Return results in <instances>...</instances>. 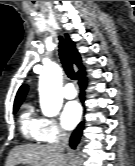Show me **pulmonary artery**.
Returning <instances> with one entry per match:
<instances>
[{
  "mask_svg": "<svg viewBox=\"0 0 135 166\" xmlns=\"http://www.w3.org/2000/svg\"><path fill=\"white\" fill-rule=\"evenodd\" d=\"M63 96L67 99H72L76 96V90L71 83H66L64 85Z\"/></svg>",
  "mask_w": 135,
  "mask_h": 166,
  "instance_id": "e3ab8cb5",
  "label": "pulmonary artery"
}]
</instances>
